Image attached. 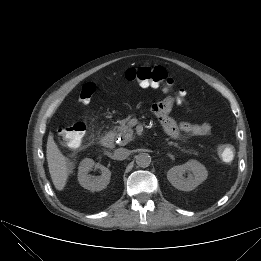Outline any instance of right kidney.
Returning a JSON list of instances; mask_svg holds the SVG:
<instances>
[{
    "label": "right kidney",
    "mask_w": 261,
    "mask_h": 261,
    "mask_svg": "<svg viewBox=\"0 0 261 261\" xmlns=\"http://www.w3.org/2000/svg\"><path fill=\"white\" fill-rule=\"evenodd\" d=\"M78 169L80 185L92 192L103 190L110 182L111 171L105 166L95 163L92 159L85 158L82 160ZM93 169H100L101 176L92 177L89 172Z\"/></svg>",
    "instance_id": "1"
}]
</instances>
